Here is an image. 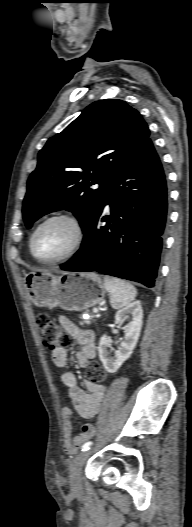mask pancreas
Masks as SVG:
<instances>
[{
	"mask_svg": "<svg viewBox=\"0 0 192 527\" xmlns=\"http://www.w3.org/2000/svg\"><path fill=\"white\" fill-rule=\"evenodd\" d=\"M84 314H87L88 315V318H84L83 317V314L80 315V318L82 319L81 320V324H87L89 325L92 321H94V318L96 317V315L94 313H91L89 311H86Z\"/></svg>",
	"mask_w": 192,
	"mask_h": 527,
	"instance_id": "obj_1",
	"label": "pancreas"
}]
</instances>
